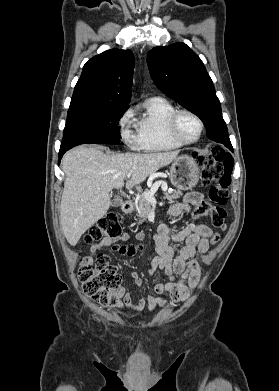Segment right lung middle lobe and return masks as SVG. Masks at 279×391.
Instances as JSON below:
<instances>
[{"instance_id":"dd1d6c3e","label":"right lung middle lobe","mask_w":279,"mask_h":391,"mask_svg":"<svg viewBox=\"0 0 279 391\" xmlns=\"http://www.w3.org/2000/svg\"><path fill=\"white\" fill-rule=\"evenodd\" d=\"M128 107H89L68 111L60 149L109 139L120 141L118 123Z\"/></svg>"}]
</instances>
